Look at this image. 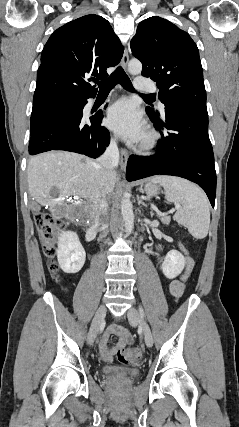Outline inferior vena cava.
I'll return each mask as SVG.
<instances>
[{
    "label": "inferior vena cava",
    "instance_id": "obj_1",
    "mask_svg": "<svg viewBox=\"0 0 239 427\" xmlns=\"http://www.w3.org/2000/svg\"><path fill=\"white\" fill-rule=\"evenodd\" d=\"M97 162L99 169L104 176H107L114 171V168L118 165L119 162V151L116 139H111L109 146L98 158ZM97 211V216L94 222L95 228H98L101 224H103L108 215V202L105 195H103V197L97 203Z\"/></svg>",
    "mask_w": 239,
    "mask_h": 427
}]
</instances>
